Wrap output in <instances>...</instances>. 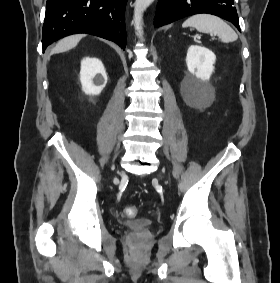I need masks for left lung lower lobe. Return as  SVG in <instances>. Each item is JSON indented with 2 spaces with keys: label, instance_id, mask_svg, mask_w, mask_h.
I'll return each instance as SVG.
<instances>
[{
  "label": "left lung lower lobe",
  "instance_id": "left-lung-lower-lobe-1",
  "mask_svg": "<svg viewBox=\"0 0 280 283\" xmlns=\"http://www.w3.org/2000/svg\"><path fill=\"white\" fill-rule=\"evenodd\" d=\"M199 13L213 14L226 19L240 31L234 0H159L154 26L160 27Z\"/></svg>",
  "mask_w": 280,
  "mask_h": 283
}]
</instances>
